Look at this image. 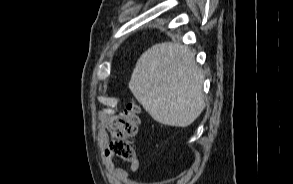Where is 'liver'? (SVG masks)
Instances as JSON below:
<instances>
[{
  "label": "liver",
  "mask_w": 293,
  "mask_h": 184,
  "mask_svg": "<svg viewBox=\"0 0 293 184\" xmlns=\"http://www.w3.org/2000/svg\"><path fill=\"white\" fill-rule=\"evenodd\" d=\"M195 54L178 42L156 44L138 59L129 89L158 123L191 125L203 111L204 76Z\"/></svg>",
  "instance_id": "obj_1"
}]
</instances>
